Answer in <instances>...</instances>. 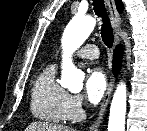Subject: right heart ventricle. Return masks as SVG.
Here are the masks:
<instances>
[{"label": "right heart ventricle", "instance_id": "e07e8e85", "mask_svg": "<svg viewBox=\"0 0 147 131\" xmlns=\"http://www.w3.org/2000/svg\"><path fill=\"white\" fill-rule=\"evenodd\" d=\"M68 92L56 80V67L49 65L38 75L31 93V112L39 120L65 121L64 104Z\"/></svg>", "mask_w": 147, "mask_h": 131}]
</instances>
